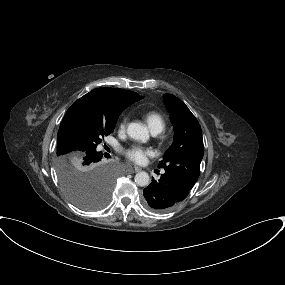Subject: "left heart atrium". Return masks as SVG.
Returning <instances> with one entry per match:
<instances>
[{
  "mask_svg": "<svg viewBox=\"0 0 285 285\" xmlns=\"http://www.w3.org/2000/svg\"><path fill=\"white\" fill-rule=\"evenodd\" d=\"M126 156L136 164H142L152 151L140 145H134L125 151Z\"/></svg>",
  "mask_w": 285,
  "mask_h": 285,
  "instance_id": "39dd6f15",
  "label": "left heart atrium"
}]
</instances>
